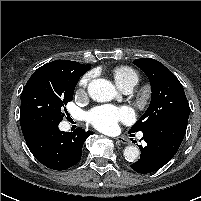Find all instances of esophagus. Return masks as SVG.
<instances>
[{
	"mask_svg": "<svg viewBox=\"0 0 201 201\" xmlns=\"http://www.w3.org/2000/svg\"><path fill=\"white\" fill-rule=\"evenodd\" d=\"M118 143L128 144V141L123 137L114 138Z\"/></svg>",
	"mask_w": 201,
	"mask_h": 201,
	"instance_id": "34e87169",
	"label": "esophagus"
}]
</instances>
